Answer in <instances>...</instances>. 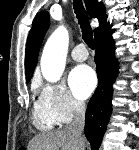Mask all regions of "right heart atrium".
I'll return each mask as SVG.
<instances>
[{
    "label": "right heart atrium",
    "mask_w": 139,
    "mask_h": 150,
    "mask_svg": "<svg viewBox=\"0 0 139 150\" xmlns=\"http://www.w3.org/2000/svg\"><path fill=\"white\" fill-rule=\"evenodd\" d=\"M40 97L48 104L59 124L71 122L84 112V104L75 99L63 83L43 84Z\"/></svg>",
    "instance_id": "1"
}]
</instances>
